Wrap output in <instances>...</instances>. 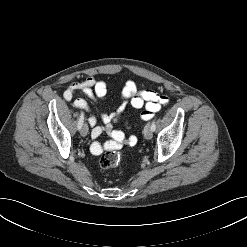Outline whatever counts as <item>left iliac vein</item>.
<instances>
[{"label": "left iliac vein", "mask_w": 247, "mask_h": 247, "mask_svg": "<svg viewBox=\"0 0 247 247\" xmlns=\"http://www.w3.org/2000/svg\"><path fill=\"white\" fill-rule=\"evenodd\" d=\"M143 134H144V137L147 139V140H150L153 136V132H152V129L150 127V124H146L145 128H144V131H143Z\"/></svg>", "instance_id": "4c4485c4"}]
</instances>
